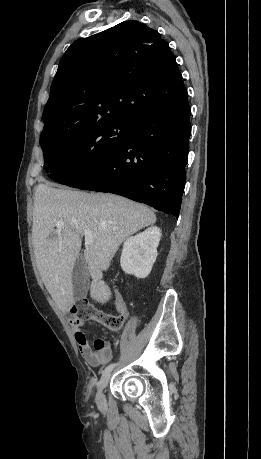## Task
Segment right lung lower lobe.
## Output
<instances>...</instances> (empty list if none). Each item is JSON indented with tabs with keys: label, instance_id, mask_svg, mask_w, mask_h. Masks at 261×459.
Instances as JSON below:
<instances>
[{
	"label": "right lung lower lobe",
	"instance_id": "1",
	"mask_svg": "<svg viewBox=\"0 0 261 459\" xmlns=\"http://www.w3.org/2000/svg\"><path fill=\"white\" fill-rule=\"evenodd\" d=\"M191 108L184 92L134 122L125 145L70 187L118 194L179 216L186 181Z\"/></svg>",
	"mask_w": 261,
	"mask_h": 459
}]
</instances>
